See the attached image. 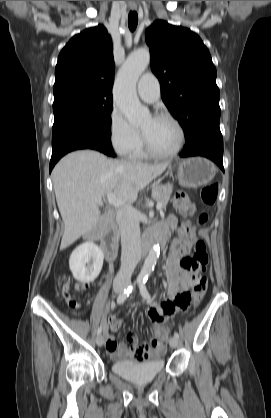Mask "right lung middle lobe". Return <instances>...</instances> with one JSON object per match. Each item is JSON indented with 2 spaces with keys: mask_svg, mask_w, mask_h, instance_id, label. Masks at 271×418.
<instances>
[{
  "mask_svg": "<svg viewBox=\"0 0 271 418\" xmlns=\"http://www.w3.org/2000/svg\"><path fill=\"white\" fill-rule=\"evenodd\" d=\"M112 97L75 96L53 103L52 139L89 129L111 132Z\"/></svg>",
  "mask_w": 271,
  "mask_h": 418,
  "instance_id": "right-lung-middle-lobe-1",
  "label": "right lung middle lobe"
}]
</instances>
